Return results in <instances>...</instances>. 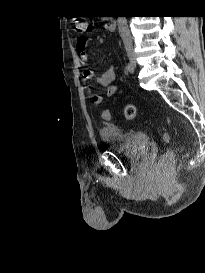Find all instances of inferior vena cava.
Returning <instances> with one entry per match:
<instances>
[{
	"label": "inferior vena cava",
	"instance_id": "inferior-vena-cava-1",
	"mask_svg": "<svg viewBox=\"0 0 205 273\" xmlns=\"http://www.w3.org/2000/svg\"><path fill=\"white\" fill-rule=\"evenodd\" d=\"M118 29L125 47H132V37L127 25L126 17H118Z\"/></svg>",
	"mask_w": 205,
	"mask_h": 273
}]
</instances>
